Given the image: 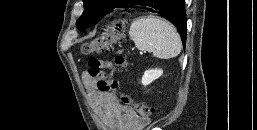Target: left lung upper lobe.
<instances>
[{
  "mask_svg": "<svg viewBox=\"0 0 257 130\" xmlns=\"http://www.w3.org/2000/svg\"><path fill=\"white\" fill-rule=\"evenodd\" d=\"M130 0H84V11L76 22V26L82 32L85 28L96 24L104 15L112 9L126 5Z\"/></svg>",
  "mask_w": 257,
  "mask_h": 130,
  "instance_id": "1",
  "label": "left lung upper lobe"
}]
</instances>
